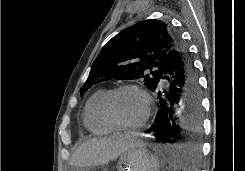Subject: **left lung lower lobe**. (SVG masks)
I'll use <instances>...</instances> for the list:
<instances>
[{
  "instance_id": "obj_1",
  "label": "left lung lower lobe",
  "mask_w": 245,
  "mask_h": 171,
  "mask_svg": "<svg viewBox=\"0 0 245 171\" xmlns=\"http://www.w3.org/2000/svg\"><path fill=\"white\" fill-rule=\"evenodd\" d=\"M163 85L166 87L163 88ZM159 97V110L154 124L148 129L157 142L177 145L182 141V128L197 129L201 117V93L198 77L185 44L172 51L163 67V76L155 91ZM198 143L187 141L185 148L175 147L173 155L181 167H197Z\"/></svg>"
}]
</instances>
